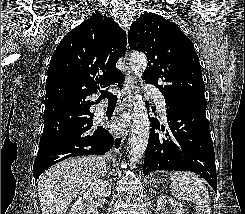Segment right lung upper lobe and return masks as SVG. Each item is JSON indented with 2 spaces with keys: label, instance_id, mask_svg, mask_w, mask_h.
Wrapping results in <instances>:
<instances>
[{
  "label": "right lung upper lobe",
  "instance_id": "1",
  "mask_svg": "<svg viewBox=\"0 0 245 214\" xmlns=\"http://www.w3.org/2000/svg\"><path fill=\"white\" fill-rule=\"evenodd\" d=\"M126 46V33L100 13L65 35L47 71L44 122L90 107L89 96L121 79L116 62Z\"/></svg>",
  "mask_w": 245,
  "mask_h": 214
}]
</instances>
